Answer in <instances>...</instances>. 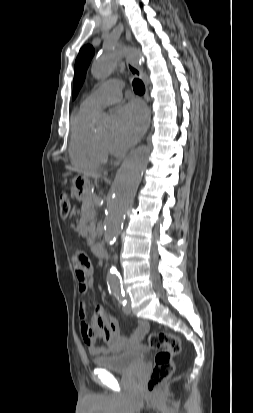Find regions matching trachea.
<instances>
[{
    "label": "trachea",
    "mask_w": 253,
    "mask_h": 413,
    "mask_svg": "<svg viewBox=\"0 0 253 413\" xmlns=\"http://www.w3.org/2000/svg\"><path fill=\"white\" fill-rule=\"evenodd\" d=\"M132 85L135 93L143 94L145 92V86L141 80L134 79Z\"/></svg>",
    "instance_id": "trachea-1"
}]
</instances>
